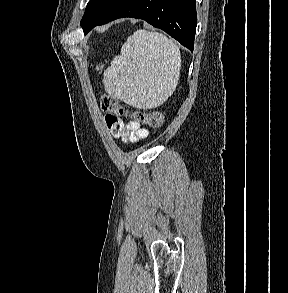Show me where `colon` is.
<instances>
[{
  "label": "colon",
  "mask_w": 288,
  "mask_h": 293,
  "mask_svg": "<svg viewBox=\"0 0 288 293\" xmlns=\"http://www.w3.org/2000/svg\"><path fill=\"white\" fill-rule=\"evenodd\" d=\"M102 68V65H98L97 67L99 71H101ZM101 106L105 111L110 112L115 117L130 115L131 118L139 125H147L149 127L158 129L161 128L164 123V117L161 112L152 111L129 113L126 109L118 104L116 98L108 94L102 95Z\"/></svg>",
  "instance_id": "5ec220e1"
}]
</instances>
